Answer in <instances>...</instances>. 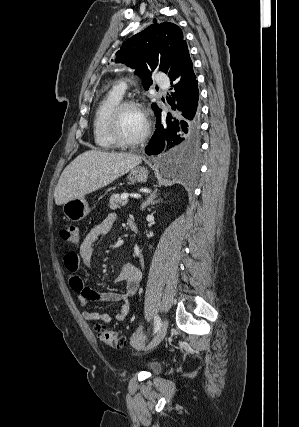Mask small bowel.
I'll list each match as a JSON object with an SVG mask.
<instances>
[{"label":"small bowel","instance_id":"small-bowel-1","mask_svg":"<svg viewBox=\"0 0 299 427\" xmlns=\"http://www.w3.org/2000/svg\"><path fill=\"white\" fill-rule=\"evenodd\" d=\"M115 220L114 214L108 215L87 233L78 253L70 251L64 255V265L69 275V284L72 290L78 294V301L81 306H87L89 301L118 302L120 304V309L114 316L108 313L84 310L82 317L87 321L104 323L114 320L124 321L130 310V299L136 294L140 285L141 271L131 263L124 264L116 278L118 282L125 284L126 290L123 293L96 291L88 286L78 274L81 263L90 265L96 244L110 232Z\"/></svg>","mask_w":299,"mask_h":427}]
</instances>
